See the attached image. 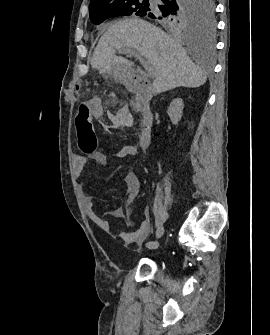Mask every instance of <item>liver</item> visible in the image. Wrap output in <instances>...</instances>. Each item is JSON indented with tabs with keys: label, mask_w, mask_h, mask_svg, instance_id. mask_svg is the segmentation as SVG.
Listing matches in <instances>:
<instances>
[{
	"label": "liver",
	"mask_w": 270,
	"mask_h": 335,
	"mask_svg": "<svg viewBox=\"0 0 270 335\" xmlns=\"http://www.w3.org/2000/svg\"><path fill=\"white\" fill-rule=\"evenodd\" d=\"M117 50H136L154 66L157 76L152 84L153 94H161L178 86L199 88L207 80L203 70L187 56L178 38L169 36L161 28L140 18L119 20L108 28L95 48L92 68L125 76L132 62H128L129 66L122 64L124 58L115 56Z\"/></svg>",
	"instance_id": "1"
}]
</instances>
